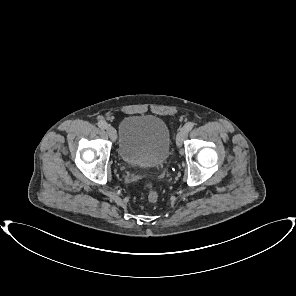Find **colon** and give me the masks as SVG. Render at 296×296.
<instances>
[{
	"label": "colon",
	"mask_w": 296,
	"mask_h": 296,
	"mask_svg": "<svg viewBox=\"0 0 296 296\" xmlns=\"http://www.w3.org/2000/svg\"><path fill=\"white\" fill-rule=\"evenodd\" d=\"M144 187L147 189V197L151 202H155L158 199V193L153 187V183L150 180H145L143 183Z\"/></svg>",
	"instance_id": "colon-1"
}]
</instances>
